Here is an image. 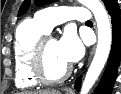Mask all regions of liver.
<instances>
[{
	"label": "liver",
	"mask_w": 121,
	"mask_h": 94,
	"mask_svg": "<svg viewBox=\"0 0 121 94\" xmlns=\"http://www.w3.org/2000/svg\"><path fill=\"white\" fill-rule=\"evenodd\" d=\"M23 94H61V92L57 90H45V91L26 92Z\"/></svg>",
	"instance_id": "1"
}]
</instances>
